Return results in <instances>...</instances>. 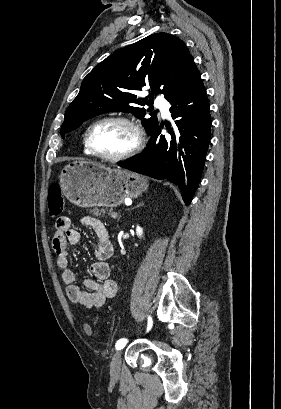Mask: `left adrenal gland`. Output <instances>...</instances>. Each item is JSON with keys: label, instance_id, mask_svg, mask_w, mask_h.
I'll return each mask as SVG.
<instances>
[{"label": "left adrenal gland", "instance_id": "left-adrenal-gland-1", "mask_svg": "<svg viewBox=\"0 0 281 409\" xmlns=\"http://www.w3.org/2000/svg\"><path fill=\"white\" fill-rule=\"evenodd\" d=\"M137 207H144V202H139V205ZM137 207H134V209H137Z\"/></svg>", "mask_w": 281, "mask_h": 409}]
</instances>
